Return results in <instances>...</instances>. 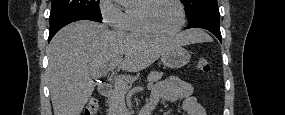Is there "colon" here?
<instances>
[{"instance_id":"colon-1","label":"colon","mask_w":285,"mask_h":115,"mask_svg":"<svg viewBox=\"0 0 285 115\" xmlns=\"http://www.w3.org/2000/svg\"><path fill=\"white\" fill-rule=\"evenodd\" d=\"M196 67L201 72H209L210 71V63L208 59L204 57H200L196 61ZM99 112V102L95 98H91L85 107L84 114L86 115H95Z\"/></svg>"}]
</instances>
